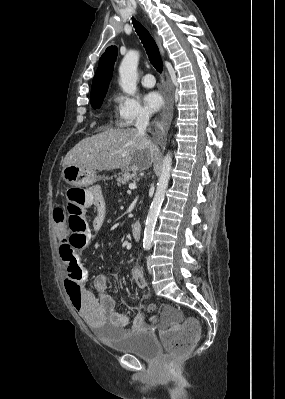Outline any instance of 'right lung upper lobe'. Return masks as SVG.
<instances>
[{
    "mask_svg": "<svg viewBox=\"0 0 285 399\" xmlns=\"http://www.w3.org/2000/svg\"><path fill=\"white\" fill-rule=\"evenodd\" d=\"M117 57V47L110 46L99 60V65L92 82L91 97L107 92L112 78L114 63Z\"/></svg>",
    "mask_w": 285,
    "mask_h": 399,
    "instance_id": "obj_1",
    "label": "right lung upper lobe"
}]
</instances>
